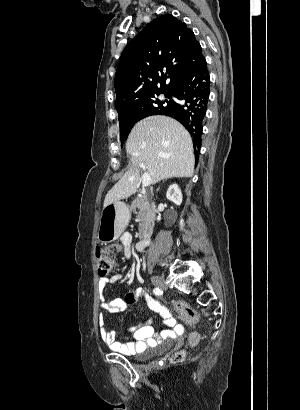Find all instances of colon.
<instances>
[{
	"instance_id": "obj_1",
	"label": "colon",
	"mask_w": 300,
	"mask_h": 410,
	"mask_svg": "<svg viewBox=\"0 0 300 410\" xmlns=\"http://www.w3.org/2000/svg\"><path fill=\"white\" fill-rule=\"evenodd\" d=\"M97 268L100 276L107 275L110 271L117 267V263L112 255L104 252L101 249L96 250ZM175 309L181 314V316L188 321H195L197 319V313L186 303L178 301L174 303ZM199 336L192 334L189 338L190 344L194 345L198 342ZM184 358L183 352L173 353L170 357L172 363H178Z\"/></svg>"
}]
</instances>
